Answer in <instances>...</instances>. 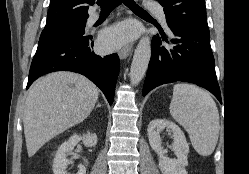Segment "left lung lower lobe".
Wrapping results in <instances>:
<instances>
[{
  "instance_id": "left-lung-lower-lobe-1",
  "label": "left lung lower lobe",
  "mask_w": 249,
  "mask_h": 174,
  "mask_svg": "<svg viewBox=\"0 0 249 174\" xmlns=\"http://www.w3.org/2000/svg\"><path fill=\"white\" fill-rule=\"evenodd\" d=\"M174 35L175 46L166 48L161 38L154 36L152 55L146 75L143 96L165 83L190 82L209 90L222 103L210 46L209 30L175 26L168 23ZM162 39L166 42L165 36Z\"/></svg>"
}]
</instances>
